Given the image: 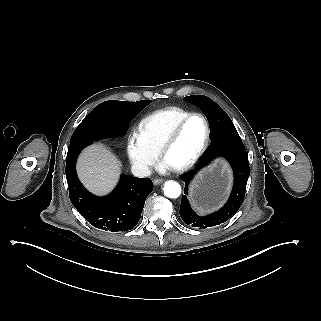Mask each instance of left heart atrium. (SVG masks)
<instances>
[{
	"label": "left heart atrium",
	"instance_id": "obj_1",
	"mask_svg": "<svg viewBox=\"0 0 321 321\" xmlns=\"http://www.w3.org/2000/svg\"><path fill=\"white\" fill-rule=\"evenodd\" d=\"M173 169V166L167 161L164 160L161 164H160V170L161 171H167V170H171Z\"/></svg>",
	"mask_w": 321,
	"mask_h": 321
}]
</instances>
